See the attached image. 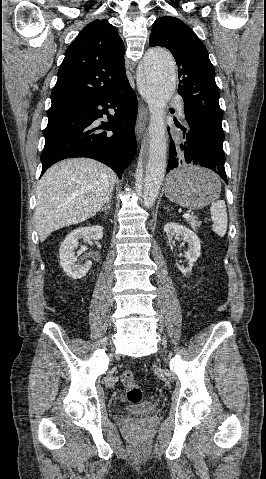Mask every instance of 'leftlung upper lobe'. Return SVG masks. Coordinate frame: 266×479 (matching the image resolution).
<instances>
[{
  "mask_svg": "<svg viewBox=\"0 0 266 479\" xmlns=\"http://www.w3.org/2000/svg\"><path fill=\"white\" fill-rule=\"evenodd\" d=\"M150 46L167 48L178 65V93L184 99L188 127L207 144L212 158H224L223 113L215 70L208 51L194 31L175 17H160L152 27Z\"/></svg>",
  "mask_w": 266,
  "mask_h": 479,
  "instance_id": "obj_1",
  "label": "left lung upper lobe"
}]
</instances>
